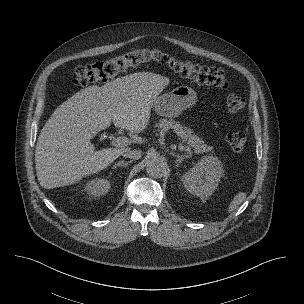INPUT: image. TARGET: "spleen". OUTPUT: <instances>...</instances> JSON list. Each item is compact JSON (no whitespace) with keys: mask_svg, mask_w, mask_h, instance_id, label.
<instances>
[{"mask_svg":"<svg viewBox=\"0 0 304 304\" xmlns=\"http://www.w3.org/2000/svg\"><path fill=\"white\" fill-rule=\"evenodd\" d=\"M246 199V193L239 192L236 194L228 207V213L233 212Z\"/></svg>","mask_w":304,"mask_h":304,"instance_id":"obj_1","label":"spleen"}]
</instances>
